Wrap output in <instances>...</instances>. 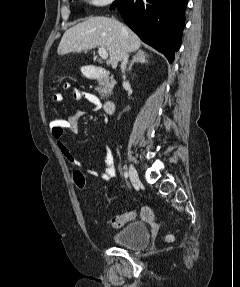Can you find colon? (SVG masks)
<instances>
[{"label":"colon","mask_w":240,"mask_h":287,"mask_svg":"<svg viewBox=\"0 0 240 287\" xmlns=\"http://www.w3.org/2000/svg\"><path fill=\"white\" fill-rule=\"evenodd\" d=\"M49 126L53 136H63L68 126L67 119L62 116H56L50 121ZM73 180L78 189L84 190L86 188V179L81 171H75L73 173ZM134 217L135 213L133 211H128L124 215L112 217L107 223L113 227L120 228L128 221L134 219ZM167 240H171V238L168 237Z\"/></svg>","instance_id":"5ec220e1"}]
</instances>
